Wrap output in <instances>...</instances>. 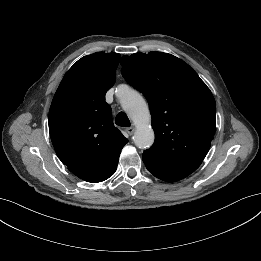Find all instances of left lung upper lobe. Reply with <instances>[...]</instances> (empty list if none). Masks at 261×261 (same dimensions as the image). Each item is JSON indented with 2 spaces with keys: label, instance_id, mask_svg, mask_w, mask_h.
<instances>
[{
  "label": "left lung upper lobe",
  "instance_id": "obj_1",
  "mask_svg": "<svg viewBox=\"0 0 261 261\" xmlns=\"http://www.w3.org/2000/svg\"><path fill=\"white\" fill-rule=\"evenodd\" d=\"M121 65L125 80L149 104L155 142L144 154L169 166L197 169L215 134L216 105L209 88L168 53L123 56Z\"/></svg>",
  "mask_w": 261,
  "mask_h": 261
}]
</instances>
